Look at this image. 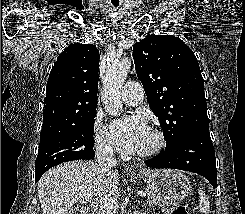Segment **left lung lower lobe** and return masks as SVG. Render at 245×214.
<instances>
[{
	"label": "left lung lower lobe",
	"instance_id": "1",
	"mask_svg": "<svg viewBox=\"0 0 245 214\" xmlns=\"http://www.w3.org/2000/svg\"><path fill=\"white\" fill-rule=\"evenodd\" d=\"M145 163L153 168H176L205 177L217 187L215 151L209 130H197Z\"/></svg>",
	"mask_w": 245,
	"mask_h": 214
}]
</instances>
